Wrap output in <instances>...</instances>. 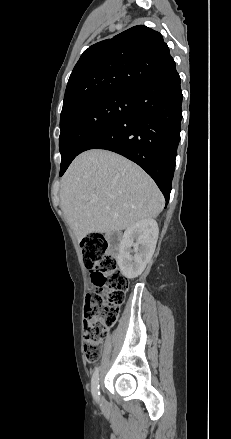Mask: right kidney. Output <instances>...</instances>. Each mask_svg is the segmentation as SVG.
<instances>
[{"label": "right kidney", "instance_id": "right-kidney-1", "mask_svg": "<svg viewBox=\"0 0 231 439\" xmlns=\"http://www.w3.org/2000/svg\"><path fill=\"white\" fill-rule=\"evenodd\" d=\"M158 233L154 219L141 220L125 230L117 263L126 278L134 279L144 271L155 251Z\"/></svg>", "mask_w": 231, "mask_h": 439}]
</instances>
